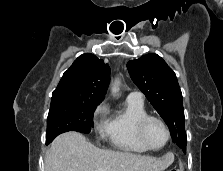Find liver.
Wrapping results in <instances>:
<instances>
[{
  "mask_svg": "<svg viewBox=\"0 0 223 171\" xmlns=\"http://www.w3.org/2000/svg\"><path fill=\"white\" fill-rule=\"evenodd\" d=\"M174 161L173 154L163 158L130 152L102 150L78 132L59 135L45 156V171H164Z\"/></svg>",
  "mask_w": 223,
  "mask_h": 171,
  "instance_id": "liver-1",
  "label": "liver"
}]
</instances>
